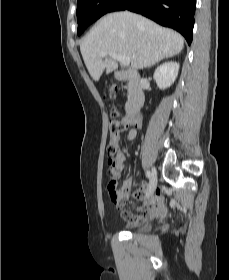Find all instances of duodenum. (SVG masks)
I'll return each instance as SVG.
<instances>
[{
  "label": "duodenum",
  "instance_id": "410a0bca",
  "mask_svg": "<svg viewBox=\"0 0 229 280\" xmlns=\"http://www.w3.org/2000/svg\"><path fill=\"white\" fill-rule=\"evenodd\" d=\"M115 77L119 81L124 79L130 81L131 91L129 100L126 103V111L129 121L139 123L140 118L138 117V112L145 102L144 88L141 83L139 74L133 71H117L115 73Z\"/></svg>",
  "mask_w": 229,
  "mask_h": 280
}]
</instances>
